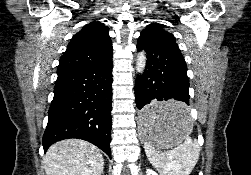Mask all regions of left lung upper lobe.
Segmentation results:
<instances>
[{
  "label": "left lung upper lobe",
  "mask_w": 251,
  "mask_h": 175,
  "mask_svg": "<svg viewBox=\"0 0 251 175\" xmlns=\"http://www.w3.org/2000/svg\"><path fill=\"white\" fill-rule=\"evenodd\" d=\"M141 34H150L154 37L159 38L160 40L166 41L170 44H173L178 48L177 43L175 42V37L172 33L167 32L164 29V25L159 23H150L147 27L142 30ZM179 49V48H178Z\"/></svg>",
  "instance_id": "obj_1"
}]
</instances>
